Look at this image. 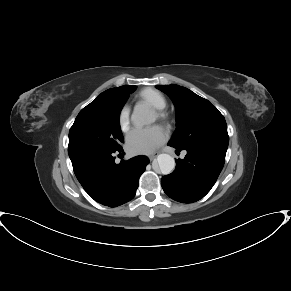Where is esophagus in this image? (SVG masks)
<instances>
[{
	"label": "esophagus",
	"instance_id": "obj_1",
	"mask_svg": "<svg viewBox=\"0 0 291 291\" xmlns=\"http://www.w3.org/2000/svg\"><path fill=\"white\" fill-rule=\"evenodd\" d=\"M157 155H158L157 153L151 154V155H149V159L153 160L154 158L157 157Z\"/></svg>",
	"mask_w": 291,
	"mask_h": 291
}]
</instances>
